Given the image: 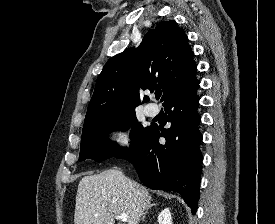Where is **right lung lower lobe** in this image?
<instances>
[{
  "mask_svg": "<svg viewBox=\"0 0 275 224\" xmlns=\"http://www.w3.org/2000/svg\"><path fill=\"white\" fill-rule=\"evenodd\" d=\"M196 77L183 89L173 93L164 103L170 128L151 125L148 131L127 150L117 155L131 162L142 183L151 188L180 193L191 208L197 210L203 156L202 134L198 130L201 117L197 112L199 88ZM164 137L166 142L160 143Z\"/></svg>",
  "mask_w": 275,
  "mask_h": 224,
  "instance_id": "1",
  "label": "right lung lower lobe"
}]
</instances>
